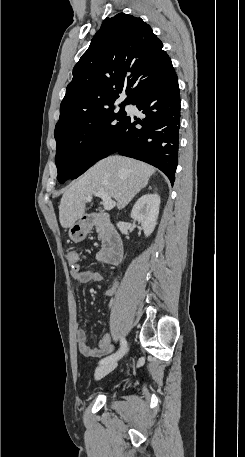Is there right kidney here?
Wrapping results in <instances>:
<instances>
[{
  "label": "right kidney",
  "mask_w": 245,
  "mask_h": 457,
  "mask_svg": "<svg viewBox=\"0 0 245 457\" xmlns=\"http://www.w3.org/2000/svg\"><path fill=\"white\" fill-rule=\"evenodd\" d=\"M159 208V194L157 192H154V194L148 192V194H143L138 198L131 210L132 218L140 222L146 237H149L155 229Z\"/></svg>",
  "instance_id": "ca27d5eb"
}]
</instances>
